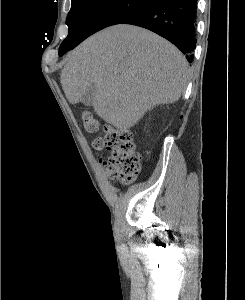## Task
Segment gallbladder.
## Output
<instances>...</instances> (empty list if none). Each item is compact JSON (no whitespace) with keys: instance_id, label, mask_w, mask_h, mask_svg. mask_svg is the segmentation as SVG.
Here are the masks:
<instances>
[{"instance_id":"obj_1","label":"gallbladder","mask_w":245,"mask_h":300,"mask_svg":"<svg viewBox=\"0 0 245 300\" xmlns=\"http://www.w3.org/2000/svg\"><path fill=\"white\" fill-rule=\"evenodd\" d=\"M95 95L96 89L93 86L89 87L83 95V103L91 106L94 102Z\"/></svg>"}]
</instances>
